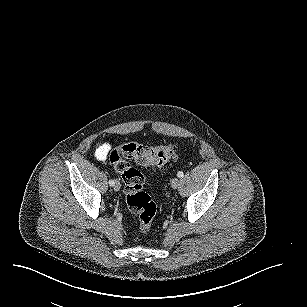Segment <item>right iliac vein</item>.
<instances>
[{"label": "right iliac vein", "instance_id": "obj_1", "mask_svg": "<svg viewBox=\"0 0 307 307\" xmlns=\"http://www.w3.org/2000/svg\"><path fill=\"white\" fill-rule=\"evenodd\" d=\"M115 191H119L121 188L120 182L118 180H116L114 186H113Z\"/></svg>", "mask_w": 307, "mask_h": 307}]
</instances>
